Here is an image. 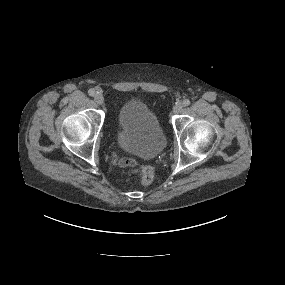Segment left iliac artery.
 Returning a JSON list of instances; mask_svg holds the SVG:
<instances>
[{"instance_id": "left-iliac-artery-1", "label": "left iliac artery", "mask_w": 285, "mask_h": 285, "mask_svg": "<svg viewBox=\"0 0 285 285\" xmlns=\"http://www.w3.org/2000/svg\"><path fill=\"white\" fill-rule=\"evenodd\" d=\"M190 105V100L189 99H185L183 101V106H189Z\"/></svg>"}]
</instances>
